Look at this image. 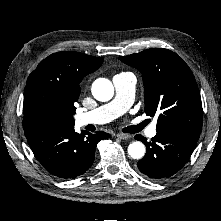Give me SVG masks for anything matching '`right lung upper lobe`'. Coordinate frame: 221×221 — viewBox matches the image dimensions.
Here are the masks:
<instances>
[{
    "mask_svg": "<svg viewBox=\"0 0 221 221\" xmlns=\"http://www.w3.org/2000/svg\"><path fill=\"white\" fill-rule=\"evenodd\" d=\"M103 63L102 57H93L78 52H58L42 60L29 75L24 91V100L31 94L51 96L64 112L63 126L74 127V103L80 95L79 83ZM33 125L23 120V127Z\"/></svg>",
    "mask_w": 221,
    "mask_h": 221,
    "instance_id": "cb5924a9",
    "label": "right lung upper lobe"
}]
</instances>
